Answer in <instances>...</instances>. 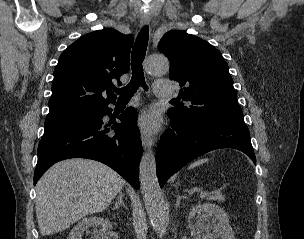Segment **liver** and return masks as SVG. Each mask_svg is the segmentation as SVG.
Here are the masks:
<instances>
[{"label": "liver", "instance_id": "1", "mask_svg": "<svg viewBox=\"0 0 304 239\" xmlns=\"http://www.w3.org/2000/svg\"><path fill=\"white\" fill-rule=\"evenodd\" d=\"M125 184L108 166L87 159L54 164L36 185V216L42 236L67 229L83 216L105 210Z\"/></svg>", "mask_w": 304, "mask_h": 239}]
</instances>
